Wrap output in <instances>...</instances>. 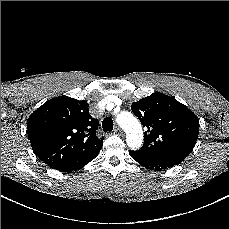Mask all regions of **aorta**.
I'll list each match as a JSON object with an SVG mask.
<instances>
[{"mask_svg":"<svg viewBox=\"0 0 229 229\" xmlns=\"http://www.w3.org/2000/svg\"><path fill=\"white\" fill-rule=\"evenodd\" d=\"M116 121L127 133V145L133 150L139 149L143 142V132L138 120L130 112L122 111Z\"/></svg>","mask_w":229,"mask_h":229,"instance_id":"aorta-1","label":"aorta"}]
</instances>
